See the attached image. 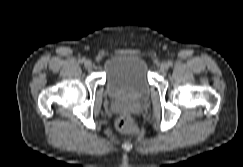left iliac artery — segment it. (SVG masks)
I'll use <instances>...</instances> for the list:
<instances>
[{"label":"left iliac artery","mask_w":243,"mask_h":167,"mask_svg":"<svg viewBox=\"0 0 243 167\" xmlns=\"http://www.w3.org/2000/svg\"><path fill=\"white\" fill-rule=\"evenodd\" d=\"M168 65L172 66L173 65L172 61H168Z\"/></svg>","instance_id":"44dca946"}]
</instances>
